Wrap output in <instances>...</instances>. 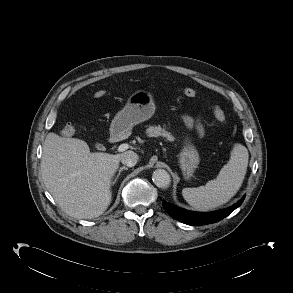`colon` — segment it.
Returning <instances> with one entry per match:
<instances>
[{
    "mask_svg": "<svg viewBox=\"0 0 293 293\" xmlns=\"http://www.w3.org/2000/svg\"><path fill=\"white\" fill-rule=\"evenodd\" d=\"M183 95H185L186 97L189 98H194L197 96V93L195 90L191 89V88H185L182 91ZM106 94V92L104 90H98L94 93V96L96 98H101ZM212 112L216 118V120L220 123H225L226 122V115L225 112L222 110V108L218 105H214L212 106ZM75 129L73 126L71 125H66L62 128L61 130V134L64 137H70L74 134Z\"/></svg>",
    "mask_w": 293,
    "mask_h": 293,
    "instance_id": "1",
    "label": "colon"
}]
</instances>
